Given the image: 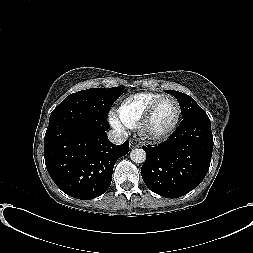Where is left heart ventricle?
Wrapping results in <instances>:
<instances>
[{"label":"left heart ventricle","mask_w":253,"mask_h":253,"mask_svg":"<svg viewBox=\"0 0 253 253\" xmlns=\"http://www.w3.org/2000/svg\"><path fill=\"white\" fill-rule=\"evenodd\" d=\"M176 117V105L171 99L162 100L154 113L149 129L152 132H163L171 126Z\"/></svg>","instance_id":"left-heart-ventricle-1"}]
</instances>
